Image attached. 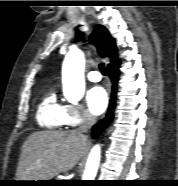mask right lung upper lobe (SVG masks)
I'll list each match as a JSON object with an SVG mask.
<instances>
[{
  "label": "right lung upper lobe",
  "instance_id": "obj_1",
  "mask_svg": "<svg viewBox=\"0 0 178 186\" xmlns=\"http://www.w3.org/2000/svg\"><path fill=\"white\" fill-rule=\"evenodd\" d=\"M90 41L97 47L101 57L110 58L111 62L107 67L117 66L120 60L117 58V47L113 37L102 25H96Z\"/></svg>",
  "mask_w": 178,
  "mask_h": 186
}]
</instances>
